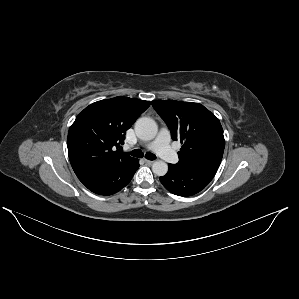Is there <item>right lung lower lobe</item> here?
Here are the masks:
<instances>
[{
    "label": "right lung lower lobe",
    "instance_id": "right-lung-lower-lobe-1",
    "mask_svg": "<svg viewBox=\"0 0 299 299\" xmlns=\"http://www.w3.org/2000/svg\"><path fill=\"white\" fill-rule=\"evenodd\" d=\"M138 159L115 166H107L92 173L78 177L92 192L111 195L125 187L139 167Z\"/></svg>",
    "mask_w": 299,
    "mask_h": 299
}]
</instances>
